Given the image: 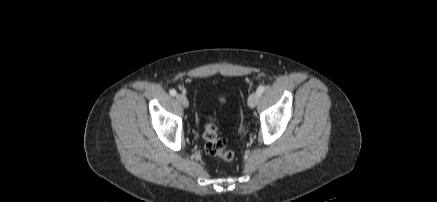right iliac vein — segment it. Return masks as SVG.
Here are the masks:
<instances>
[{"mask_svg": "<svg viewBox=\"0 0 437 202\" xmlns=\"http://www.w3.org/2000/svg\"><path fill=\"white\" fill-rule=\"evenodd\" d=\"M176 99L183 107L187 108L189 106V101L184 94H178Z\"/></svg>", "mask_w": 437, "mask_h": 202, "instance_id": "63e3f726", "label": "right iliac vein"}]
</instances>
